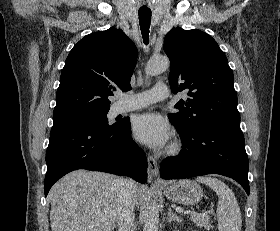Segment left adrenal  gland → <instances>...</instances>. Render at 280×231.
<instances>
[{"instance_id":"1","label":"left adrenal gland","mask_w":280,"mask_h":231,"mask_svg":"<svg viewBox=\"0 0 280 231\" xmlns=\"http://www.w3.org/2000/svg\"><path fill=\"white\" fill-rule=\"evenodd\" d=\"M167 221H169V223H171V221H177V223H181L182 217H179L177 213H173L172 207H169L167 213Z\"/></svg>"}]
</instances>
